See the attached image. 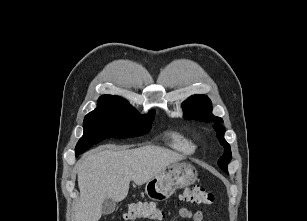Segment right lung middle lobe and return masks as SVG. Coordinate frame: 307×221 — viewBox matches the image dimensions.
Returning a JSON list of instances; mask_svg holds the SVG:
<instances>
[{
    "label": "right lung middle lobe",
    "mask_w": 307,
    "mask_h": 221,
    "mask_svg": "<svg viewBox=\"0 0 307 221\" xmlns=\"http://www.w3.org/2000/svg\"><path fill=\"white\" fill-rule=\"evenodd\" d=\"M153 112L138 115L130 104L98 103L97 108L84 119V134L75 148V155L107 138H131L147 133Z\"/></svg>",
    "instance_id": "dd1d6c3e"
}]
</instances>
